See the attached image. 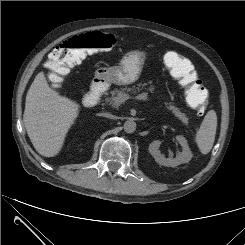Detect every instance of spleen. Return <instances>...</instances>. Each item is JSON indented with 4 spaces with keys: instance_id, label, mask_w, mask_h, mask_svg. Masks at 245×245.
<instances>
[{
    "instance_id": "spleen-1",
    "label": "spleen",
    "mask_w": 245,
    "mask_h": 245,
    "mask_svg": "<svg viewBox=\"0 0 245 245\" xmlns=\"http://www.w3.org/2000/svg\"><path fill=\"white\" fill-rule=\"evenodd\" d=\"M217 128V115L214 110H210L197 131L195 141L202 154H208L214 144Z\"/></svg>"
}]
</instances>
